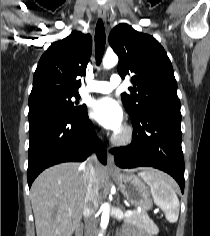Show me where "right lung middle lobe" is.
<instances>
[{"instance_id":"dd1d6c3e","label":"right lung middle lobe","mask_w":210,"mask_h":236,"mask_svg":"<svg viewBox=\"0 0 210 236\" xmlns=\"http://www.w3.org/2000/svg\"><path fill=\"white\" fill-rule=\"evenodd\" d=\"M73 97L76 100L72 99ZM79 94L47 92L29 101L28 119L33 120L50 114L81 117L87 114L85 104L79 105Z\"/></svg>"}]
</instances>
